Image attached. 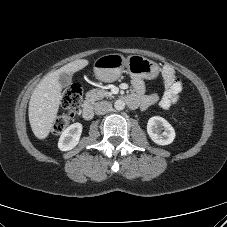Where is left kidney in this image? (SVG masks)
<instances>
[{
  "label": "left kidney",
  "mask_w": 227,
  "mask_h": 227,
  "mask_svg": "<svg viewBox=\"0 0 227 227\" xmlns=\"http://www.w3.org/2000/svg\"><path fill=\"white\" fill-rule=\"evenodd\" d=\"M162 130L164 131L161 132ZM147 133L154 143L162 146L171 144L175 139L174 128L160 116H154L148 120Z\"/></svg>",
  "instance_id": "left-kidney-1"
}]
</instances>
